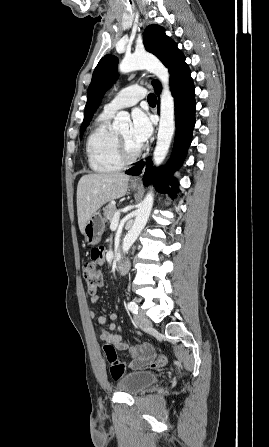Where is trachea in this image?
<instances>
[{
    "instance_id": "obj_1",
    "label": "trachea",
    "mask_w": 269,
    "mask_h": 447,
    "mask_svg": "<svg viewBox=\"0 0 269 447\" xmlns=\"http://www.w3.org/2000/svg\"><path fill=\"white\" fill-rule=\"evenodd\" d=\"M156 102H157L156 95H154V93H150L148 96V103L150 105H156Z\"/></svg>"
}]
</instances>
